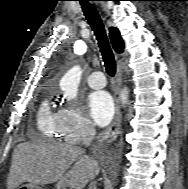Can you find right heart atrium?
Masks as SVG:
<instances>
[{
    "instance_id": "d8ad5b80",
    "label": "right heart atrium",
    "mask_w": 188,
    "mask_h": 189,
    "mask_svg": "<svg viewBox=\"0 0 188 189\" xmlns=\"http://www.w3.org/2000/svg\"><path fill=\"white\" fill-rule=\"evenodd\" d=\"M58 116L63 135L68 142L76 143L81 138L88 137L93 133L91 122L77 106L62 107Z\"/></svg>"
}]
</instances>
